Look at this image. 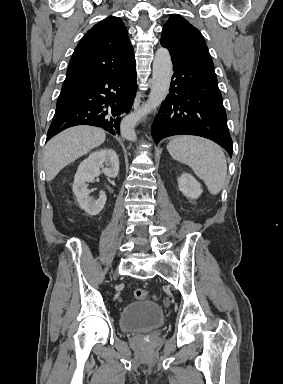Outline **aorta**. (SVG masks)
I'll use <instances>...</instances> for the list:
<instances>
[{"label":"aorta","mask_w":283,"mask_h":384,"mask_svg":"<svg viewBox=\"0 0 283 384\" xmlns=\"http://www.w3.org/2000/svg\"><path fill=\"white\" fill-rule=\"evenodd\" d=\"M172 76L171 56L166 48H159L153 61L152 85L147 102L121 122V134L129 141L137 139L135 126L140 119L156 109L168 94Z\"/></svg>","instance_id":"1"}]
</instances>
